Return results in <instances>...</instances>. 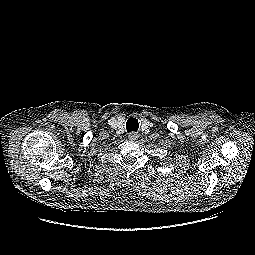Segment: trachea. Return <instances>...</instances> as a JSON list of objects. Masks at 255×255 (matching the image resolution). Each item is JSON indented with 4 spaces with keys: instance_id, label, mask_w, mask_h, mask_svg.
<instances>
[{
    "instance_id": "trachea-1",
    "label": "trachea",
    "mask_w": 255,
    "mask_h": 255,
    "mask_svg": "<svg viewBox=\"0 0 255 255\" xmlns=\"http://www.w3.org/2000/svg\"><path fill=\"white\" fill-rule=\"evenodd\" d=\"M139 123L136 118H129L126 123L127 132H137Z\"/></svg>"
}]
</instances>
